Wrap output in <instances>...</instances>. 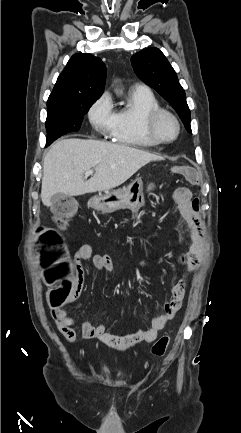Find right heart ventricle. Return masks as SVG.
<instances>
[{
	"label": "right heart ventricle",
	"instance_id": "obj_1",
	"mask_svg": "<svg viewBox=\"0 0 241 433\" xmlns=\"http://www.w3.org/2000/svg\"><path fill=\"white\" fill-rule=\"evenodd\" d=\"M157 108L160 104L151 90L133 88L127 102L114 112L113 140L137 148L156 147L145 132L144 122L146 115Z\"/></svg>",
	"mask_w": 241,
	"mask_h": 433
}]
</instances>
